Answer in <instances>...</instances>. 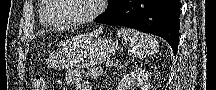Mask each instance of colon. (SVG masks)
<instances>
[{"mask_svg":"<svg viewBox=\"0 0 216 90\" xmlns=\"http://www.w3.org/2000/svg\"><path fill=\"white\" fill-rule=\"evenodd\" d=\"M31 90H45V82L43 77L40 74H37L33 77L31 81Z\"/></svg>","mask_w":216,"mask_h":90,"instance_id":"obj_1","label":"colon"}]
</instances>
